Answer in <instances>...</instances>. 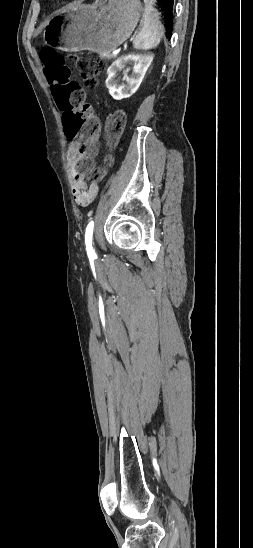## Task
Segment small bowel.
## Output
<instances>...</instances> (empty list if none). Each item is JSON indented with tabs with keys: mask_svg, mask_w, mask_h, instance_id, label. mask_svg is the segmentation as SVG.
<instances>
[{
	"mask_svg": "<svg viewBox=\"0 0 253 548\" xmlns=\"http://www.w3.org/2000/svg\"><path fill=\"white\" fill-rule=\"evenodd\" d=\"M83 141V136L72 137V140L66 152V165L69 173L72 195L77 204L85 207L94 201L97 196L99 186L98 183L95 181H90V183L88 184L86 182V177L76 172L75 167L80 157V151L83 146Z\"/></svg>",
	"mask_w": 253,
	"mask_h": 548,
	"instance_id": "obj_1",
	"label": "small bowel"
}]
</instances>
